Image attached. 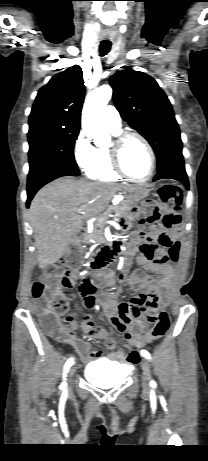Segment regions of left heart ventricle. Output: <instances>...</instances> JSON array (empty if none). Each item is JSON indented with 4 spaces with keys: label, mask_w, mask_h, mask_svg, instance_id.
I'll list each match as a JSON object with an SVG mask.
<instances>
[{
    "label": "left heart ventricle",
    "mask_w": 208,
    "mask_h": 461,
    "mask_svg": "<svg viewBox=\"0 0 208 461\" xmlns=\"http://www.w3.org/2000/svg\"><path fill=\"white\" fill-rule=\"evenodd\" d=\"M125 171L136 178H144L150 170V157L143 143L136 139H129L123 147L121 155Z\"/></svg>",
    "instance_id": "obj_1"
}]
</instances>
